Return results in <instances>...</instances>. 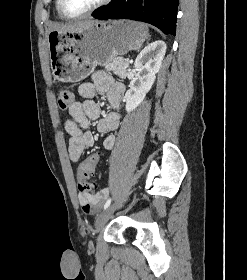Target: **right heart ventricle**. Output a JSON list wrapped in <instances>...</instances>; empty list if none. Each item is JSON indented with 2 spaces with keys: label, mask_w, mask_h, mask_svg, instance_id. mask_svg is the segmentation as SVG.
Segmentation results:
<instances>
[{
  "label": "right heart ventricle",
  "mask_w": 247,
  "mask_h": 280,
  "mask_svg": "<svg viewBox=\"0 0 247 280\" xmlns=\"http://www.w3.org/2000/svg\"><path fill=\"white\" fill-rule=\"evenodd\" d=\"M58 4H59V1L56 0V1H55L56 13H57V15H58L59 18L64 19V17H63V16L60 14V12H59V6H58Z\"/></svg>",
  "instance_id": "obj_1"
}]
</instances>
